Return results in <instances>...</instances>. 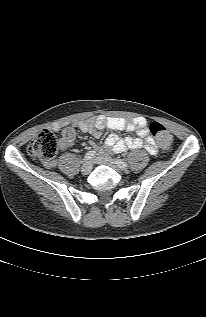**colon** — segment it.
Returning a JSON list of instances; mask_svg holds the SVG:
<instances>
[{
    "label": "colon",
    "instance_id": "colon-1",
    "mask_svg": "<svg viewBox=\"0 0 206 317\" xmlns=\"http://www.w3.org/2000/svg\"><path fill=\"white\" fill-rule=\"evenodd\" d=\"M150 133L154 136L158 144L164 148H170L172 135L167 128L159 122L153 121L148 125ZM66 130L64 134H67ZM58 149V139L49 130H42L28 146L29 154L38 160L49 162L56 154Z\"/></svg>",
    "mask_w": 206,
    "mask_h": 317
}]
</instances>
